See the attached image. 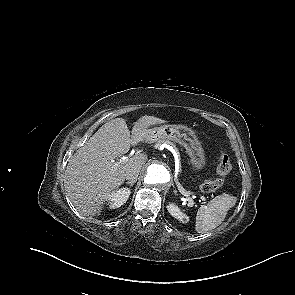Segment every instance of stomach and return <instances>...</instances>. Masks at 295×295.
Returning a JSON list of instances; mask_svg holds the SVG:
<instances>
[{
    "instance_id": "stomach-1",
    "label": "stomach",
    "mask_w": 295,
    "mask_h": 295,
    "mask_svg": "<svg viewBox=\"0 0 295 295\" xmlns=\"http://www.w3.org/2000/svg\"><path fill=\"white\" fill-rule=\"evenodd\" d=\"M146 142L174 141L182 145L190 157L194 170H201L206 164L205 153L195 133L185 125H164L147 132Z\"/></svg>"
}]
</instances>
